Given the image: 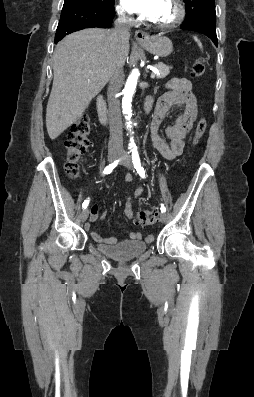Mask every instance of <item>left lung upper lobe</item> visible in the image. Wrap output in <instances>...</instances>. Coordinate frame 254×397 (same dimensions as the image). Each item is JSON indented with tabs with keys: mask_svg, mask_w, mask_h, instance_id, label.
<instances>
[{
	"mask_svg": "<svg viewBox=\"0 0 254 397\" xmlns=\"http://www.w3.org/2000/svg\"><path fill=\"white\" fill-rule=\"evenodd\" d=\"M183 1L186 6H189L192 1H204L203 3H200V5H198V7H200L201 9H205L212 6L215 7V0H183ZM191 7H193V5Z\"/></svg>",
	"mask_w": 254,
	"mask_h": 397,
	"instance_id": "5c2ea615",
	"label": "left lung upper lobe"
}]
</instances>
